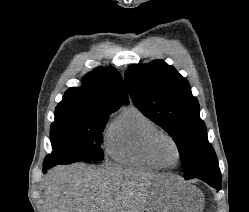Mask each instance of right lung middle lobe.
Masks as SVG:
<instances>
[{
	"label": "right lung middle lobe",
	"instance_id": "right-lung-middle-lobe-1",
	"mask_svg": "<svg viewBox=\"0 0 249 212\" xmlns=\"http://www.w3.org/2000/svg\"><path fill=\"white\" fill-rule=\"evenodd\" d=\"M116 110L58 104L50 130L53 153L45 158L43 165L102 160V131L109 115Z\"/></svg>",
	"mask_w": 249,
	"mask_h": 212
}]
</instances>
